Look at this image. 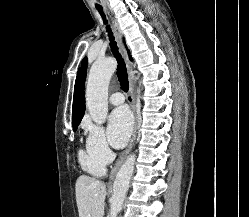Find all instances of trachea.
Returning <instances> with one entry per match:
<instances>
[{
	"mask_svg": "<svg viewBox=\"0 0 249 217\" xmlns=\"http://www.w3.org/2000/svg\"><path fill=\"white\" fill-rule=\"evenodd\" d=\"M96 8L99 11V13L101 14L104 23L107 24V20H106L104 13H103L102 7L96 6ZM106 29H107L109 40H110L111 51L113 52V54L118 62L116 74H117V77H118V80L120 82L122 90L127 92L129 87H128V75H127L126 65H125V62H124L121 54L118 51L117 43L115 42V38H114L113 33L110 29V26L107 25Z\"/></svg>",
	"mask_w": 249,
	"mask_h": 217,
	"instance_id": "trachea-1",
	"label": "trachea"
}]
</instances>
